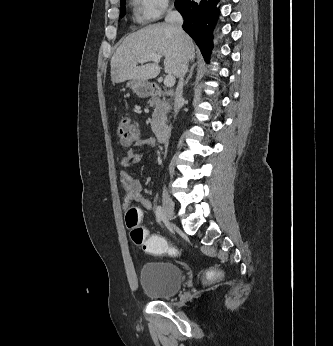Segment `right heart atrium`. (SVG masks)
Wrapping results in <instances>:
<instances>
[{
  "instance_id": "d8ad5b80",
  "label": "right heart atrium",
  "mask_w": 333,
  "mask_h": 346,
  "mask_svg": "<svg viewBox=\"0 0 333 346\" xmlns=\"http://www.w3.org/2000/svg\"><path fill=\"white\" fill-rule=\"evenodd\" d=\"M138 18L149 22L160 18L170 6V0H135Z\"/></svg>"
}]
</instances>
